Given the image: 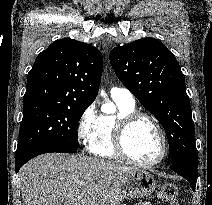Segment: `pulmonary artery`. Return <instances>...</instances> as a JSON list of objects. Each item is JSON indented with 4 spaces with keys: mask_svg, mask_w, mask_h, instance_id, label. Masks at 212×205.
I'll use <instances>...</instances> for the list:
<instances>
[{
    "mask_svg": "<svg viewBox=\"0 0 212 205\" xmlns=\"http://www.w3.org/2000/svg\"><path fill=\"white\" fill-rule=\"evenodd\" d=\"M113 100L120 101L129 105H135L133 94L126 88L113 87L110 91Z\"/></svg>",
    "mask_w": 212,
    "mask_h": 205,
    "instance_id": "pulmonary-artery-1",
    "label": "pulmonary artery"
}]
</instances>
